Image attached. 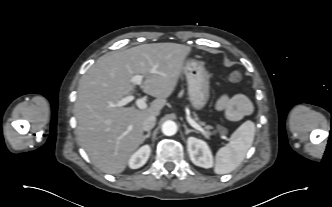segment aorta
I'll return each instance as SVG.
<instances>
[{
	"instance_id": "1",
	"label": "aorta",
	"mask_w": 332,
	"mask_h": 207,
	"mask_svg": "<svg viewBox=\"0 0 332 207\" xmlns=\"http://www.w3.org/2000/svg\"><path fill=\"white\" fill-rule=\"evenodd\" d=\"M162 132L166 136H172L177 132V125L174 121L167 120L162 124Z\"/></svg>"
}]
</instances>
